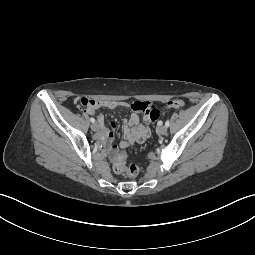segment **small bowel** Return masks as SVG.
Returning <instances> with one entry per match:
<instances>
[{
    "label": "small bowel",
    "instance_id": "obj_1",
    "mask_svg": "<svg viewBox=\"0 0 255 255\" xmlns=\"http://www.w3.org/2000/svg\"><path fill=\"white\" fill-rule=\"evenodd\" d=\"M128 106L125 102L119 101H97L95 106H88L86 112L90 115H95L99 107H107L110 109H116L119 107ZM132 109L135 111H142L145 113V122L147 124L155 121L160 114L159 108L149 102L135 101L131 105ZM100 131L98 133V138L108 144L111 150L114 152L117 149L116 145H112L114 138L115 123H111V128L104 126V117L102 115L97 116ZM124 141L120 143L121 148L128 147L134 143H140L146 140L150 134L151 130L148 125L140 124L139 115L133 112L128 120L124 121L123 125Z\"/></svg>",
    "mask_w": 255,
    "mask_h": 255
}]
</instances>
